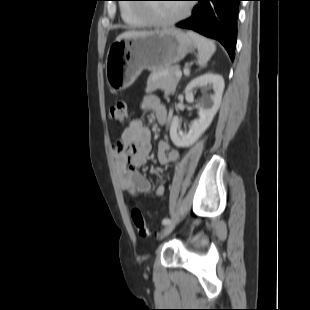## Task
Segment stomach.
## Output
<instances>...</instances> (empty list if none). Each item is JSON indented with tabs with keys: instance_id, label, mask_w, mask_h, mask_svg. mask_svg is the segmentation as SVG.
Returning a JSON list of instances; mask_svg holds the SVG:
<instances>
[{
	"instance_id": "1",
	"label": "stomach",
	"mask_w": 310,
	"mask_h": 310,
	"mask_svg": "<svg viewBox=\"0 0 310 310\" xmlns=\"http://www.w3.org/2000/svg\"><path fill=\"white\" fill-rule=\"evenodd\" d=\"M195 46L188 34L174 28L115 41L106 57L107 84L115 91L124 90L144 69L157 71L171 67Z\"/></svg>"
}]
</instances>
